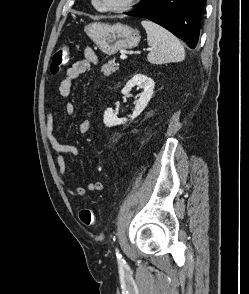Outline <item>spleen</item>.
Returning a JSON list of instances; mask_svg holds the SVG:
<instances>
[{"mask_svg":"<svg viewBox=\"0 0 249 294\" xmlns=\"http://www.w3.org/2000/svg\"><path fill=\"white\" fill-rule=\"evenodd\" d=\"M141 24L146 30L148 45L151 47L147 56L150 63L163 64L184 60V48L173 34L152 21L143 20Z\"/></svg>","mask_w":249,"mask_h":294,"instance_id":"obj_1","label":"spleen"}]
</instances>
